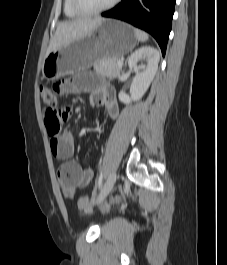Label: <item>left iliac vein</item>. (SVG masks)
Returning <instances> with one entry per match:
<instances>
[{
    "instance_id": "4c4485c4",
    "label": "left iliac vein",
    "mask_w": 227,
    "mask_h": 265,
    "mask_svg": "<svg viewBox=\"0 0 227 265\" xmlns=\"http://www.w3.org/2000/svg\"><path fill=\"white\" fill-rule=\"evenodd\" d=\"M116 178H117L116 171H113L109 174V176H108L105 184L101 188L100 194L96 200L97 205L103 203L104 200L107 198V196L109 195V193L111 192V190L115 184Z\"/></svg>"
}]
</instances>
